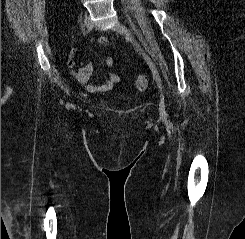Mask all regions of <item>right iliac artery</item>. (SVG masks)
Returning <instances> with one entry per match:
<instances>
[{
	"label": "right iliac artery",
	"instance_id": "obj_1",
	"mask_svg": "<svg viewBox=\"0 0 245 239\" xmlns=\"http://www.w3.org/2000/svg\"><path fill=\"white\" fill-rule=\"evenodd\" d=\"M93 29V25L91 24L86 31H84V35H87L88 33H90Z\"/></svg>",
	"mask_w": 245,
	"mask_h": 239
}]
</instances>
